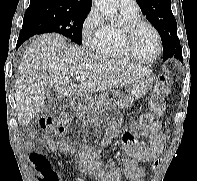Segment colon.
Returning <instances> with one entry per match:
<instances>
[{
  "mask_svg": "<svg viewBox=\"0 0 197 181\" xmlns=\"http://www.w3.org/2000/svg\"><path fill=\"white\" fill-rule=\"evenodd\" d=\"M170 92V78L168 75L163 74L158 77L154 96L152 99V108L156 115H162L165 111V99ZM150 115H144L141 118V123L143 126L148 125L151 122ZM70 117L68 114H59L46 120V127L54 129L55 132L63 131L69 124Z\"/></svg>",
  "mask_w": 197,
  "mask_h": 181,
  "instance_id": "obj_1",
  "label": "colon"
}]
</instances>
